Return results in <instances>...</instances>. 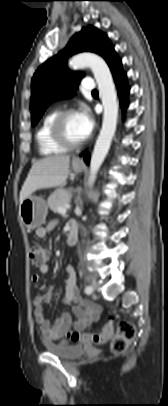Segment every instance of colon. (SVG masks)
<instances>
[{
	"mask_svg": "<svg viewBox=\"0 0 168 406\" xmlns=\"http://www.w3.org/2000/svg\"><path fill=\"white\" fill-rule=\"evenodd\" d=\"M31 264L34 267H43L49 257V251L39 244H32L29 249ZM112 324L107 323L100 333H82L75 330H67V337L74 343L85 342L94 344H103L111 339L110 349L112 353L119 354L126 350L130 341L136 335V327L129 321H121L118 325L116 334L112 336Z\"/></svg>",
	"mask_w": 168,
	"mask_h": 406,
	"instance_id": "colon-1",
	"label": "colon"
}]
</instances>
